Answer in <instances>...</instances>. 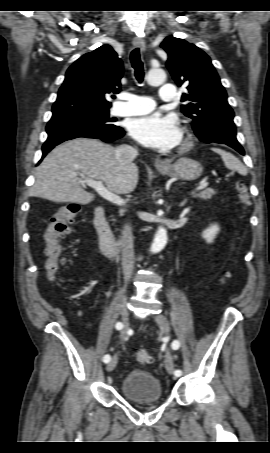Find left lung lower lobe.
<instances>
[{"mask_svg": "<svg viewBox=\"0 0 270 453\" xmlns=\"http://www.w3.org/2000/svg\"><path fill=\"white\" fill-rule=\"evenodd\" d=\"M227 145L232 147V148H234L240 154L244 155V150H243L242 146L239 144V142H237V143H228Z\"/></svg>", "mask_w": 270, "mask_h": 453, "instance_id": "0a47b994", "label": "left lung lower lobe"}]
</instances>
